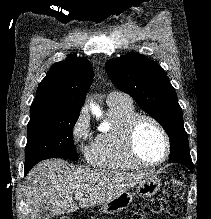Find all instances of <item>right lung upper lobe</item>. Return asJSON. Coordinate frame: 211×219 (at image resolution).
<instances>
[{"mask_svg": "<svg viewBox=\"0 0 211 219\" xmlns=\"http://www.w3.org/2000/svg\"><path fill=\"white\" fill-rule=\"evenodd\" d=\"M93 77L87 59L70 55L50 68L32 105H48L58 112H80Z\"/></svg>", "mask_w": 211, "mask_h": 219, "instance_id": "obj_1", "label": "right lung upper lobe"}]
</instances>
